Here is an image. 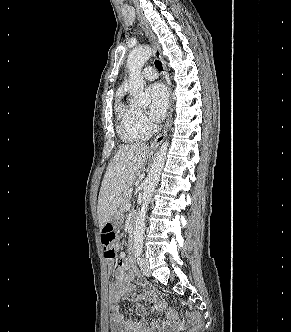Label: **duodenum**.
Returning <instances> with one entry per match:
<instances>
[{
    "label": "duodenum",
    "mask_w": 291,
    "mask_h": 332,
    "mask_svg": "<svg viewBox=\"0 0 291 332\" xmlns=\"http://www.w3.org/2000/svg\"><path fill=\"white\" fill-rule=\"evenodd\" d=\"M135 226H136V222H135V220H132L131 229H135ZM130 251L131 252L133 251V244L132 243L130 244Z\"/></svg>",
    "instance_id": "410a0bca"
}]
</instances>
